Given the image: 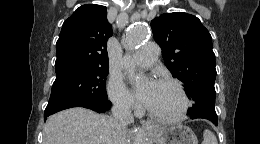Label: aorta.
<instances>
[{"label":"aorta","mask_w":260,"mask_h":144,"mask_svg":"<svg viewBox=\"0 0 260 144\" xmlns=\"http://www.w3.org/2000/svg\"><path fill=\"white\" fill-rule=\"evenodd\" d=\"M149 32L147 27L140 23L135 24L131 28L128 29L126 35L123 38L124 47L131 53L136 46L141 45L147 40ZM123 66L125 71L129 75H135V64L131 60L130 54H127L123 59ZM134 144H148L147 139L145 138L144 134L139 131L136 134V139Z\"/></svg>","instance_id":"obj_1"}]
</instances>
